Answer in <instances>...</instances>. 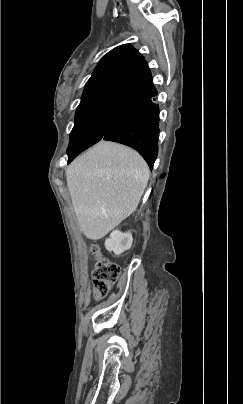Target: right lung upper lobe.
<instances>
[{
    "instance_id": "1",
    "label": "right lung upper lobe",
    "mask_w": 243,
    "mask_h": 404,
    "mask_svg": "<svg viewBox=\"0 0 243 404\" xmlns=\"http://www.w3.org/2000/svg\"><path fill=\"white\" fill-rule=\"evenodd\" d=\"M156 92L146 61L130 44H124L100 60L78 108L106 101L129 103Z\"/></svg>"
}]
</instances>
